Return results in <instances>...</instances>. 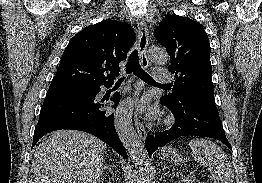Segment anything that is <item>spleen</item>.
I'll return each instance as SVG.
<instances>
[{"label":"spleen","instance_id":"obj_1","mask_svg":"<svg viewBox=\"0 0 262 183\" xmlns=\"http://www.w3.org/2000/svg\"><path fill=\"white\" fill-rule=\"evenodd\" d=\"M192 156L202 166L212 170L211 179L214 183H233L234 172L224 151L207 139L195 138L189 142Z\"/></svg>","mask_w":262,"mask_h":183}]
</instances>
